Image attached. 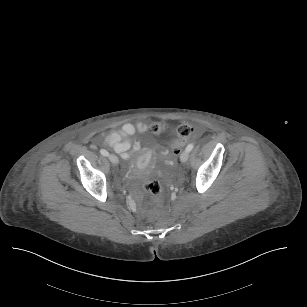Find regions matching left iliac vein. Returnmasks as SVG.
Listing matches in <instances>:
<instances>
[{"label": "left iliac vein", "mask_w": 307, "mask_h": 307, "mask_svg": "<svg viewBox=\"0 0 307 307\" xmlns=\"http://www.w3.org/2000/svg\"><path fill=\"white\" fill-rule=\"evenodd\" d=\"M189 159V152L188 151H183L180 155V161L185 163Z\"/></svg>", "instance_id": "obj_1"}]
</instances>
